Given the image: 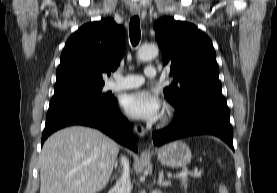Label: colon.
Here are the masks:
<instances>
[{"mask_svg":"<svg viewBox=\"0 0 277 193\" xmlns=\"http://www.w3.org/2000/svg\"><path fill=\"white\" fill-rule=\"evenodd\" d=\"M218 193H229V190L225 184H221L219 186Z\"/></svg>","mask_w":277,"mask_h":193,"instance_id":"colon-1","label":"colon"}]
</instances>
